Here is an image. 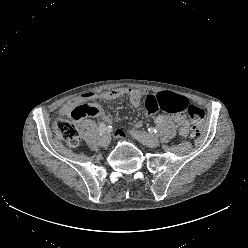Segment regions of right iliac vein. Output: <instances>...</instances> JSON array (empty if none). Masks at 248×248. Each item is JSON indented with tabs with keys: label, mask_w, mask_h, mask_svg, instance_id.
<instances>
[{
	"label": "right iliac vein",
	"mask_w": 248,
	"mask_h": 248,
	"mask_svg": "<svg viewBox=\"0 0 248 248\" xmlns=\"http://www.w3.org/2000/svg\"><path fill=\"white\" fill-rule=\"evenodd\" d=\"M111 137L108 133H105L101 138H100V145L102 147H107L110 144Z\"/></svg>",
	"instance_id": "obj_1"
}]
</instances>
